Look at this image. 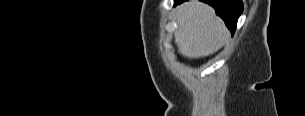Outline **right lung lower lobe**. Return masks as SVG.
I'll use <instances>...</instances> for the list:
<instances>
[{"label": "right lung lower lobe", "mask_w": 305, "mask_h": 116, "mask_svg": "<svg viewBox=\"0 0 305 116\" xmlns=\"http://www.w3.org/2000/svg\"><path fill=\"white\" fill-rule=\"evenodd\" d=\"M185 0H174V4H180ZM211 5L216 14L219 15L225 22L226 26L233 34L236 29V24L239 16L243 11L241 0H201Z\"/></svg>", "instance_id": "obj_1"}]
</instances>
